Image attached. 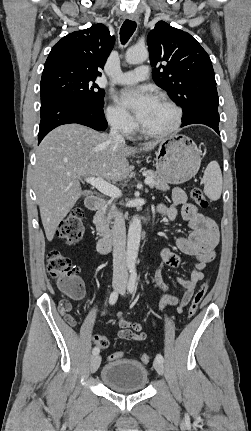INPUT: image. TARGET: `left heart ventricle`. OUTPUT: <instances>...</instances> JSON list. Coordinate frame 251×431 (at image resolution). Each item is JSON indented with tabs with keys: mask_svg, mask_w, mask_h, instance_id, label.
Instances as JSON below:
<instances>
[{
	"mask_svg": "<svg viewBox=\"0 0 251 431\" xmlns=\"http://www.w3.org/2000/svg\"><path fill=\"white\" fill-rule=\"evenodd\" d=\"M174 119L173 110L165 103L156 100L155 105L150 110L141 124L150 131H162L168 128Z\"/></svg>",
	"mask_w": 251,
	"mask_h": 431,
	"instance_id": "left-heart-ventricle-1",
	"label": "left heart ventricle"
}]
</instances>
